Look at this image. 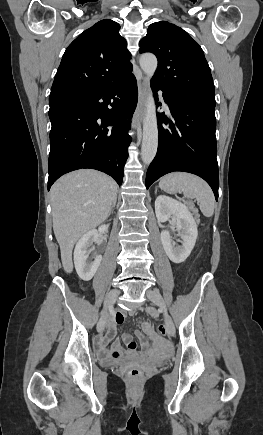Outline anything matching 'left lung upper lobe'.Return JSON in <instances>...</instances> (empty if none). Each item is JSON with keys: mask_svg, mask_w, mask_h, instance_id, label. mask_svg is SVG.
<instances>
[{"mask_svg": "<svg viewBox=\"0 0 263 435\" xmlns=\"http://www.w3.org/2000/svg\"><path fill=\"white\" fill-rule=\"evenodd\" d=\"M139 46L140 53L152 52L158 59L152 85L178 98L216 105L203 50L186 31L166 21L155 22Z\"/></svg>", "mask_w": 263, "mask_h": 435, "instance_id": "5c2ea615", "label": "left lung upper lobe"}]
</instances>
